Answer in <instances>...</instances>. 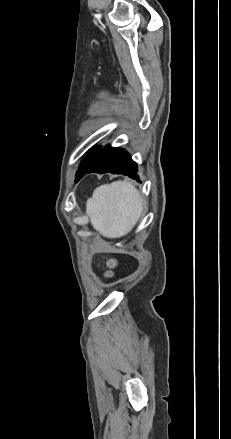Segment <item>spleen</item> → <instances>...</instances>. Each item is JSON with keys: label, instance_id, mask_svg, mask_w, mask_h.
Listing matches in <instances>:
<instances>
[{"label": "spleen", "instance_id": "3e777b00", "mask_svg": "<svg viewBox=\"0 0 231 439\" xmlns=\"http://www.w3.org/2000/svg\"><path fill=\"white\" fill-rule=\"evenodd\" d=\"M142 210L140 193L127 181L99 186L86 204L91 224L108 238L127 234L139 220Z\"/></svg>", "mask_w": 231, "mask_h": 439}]
</instances>
